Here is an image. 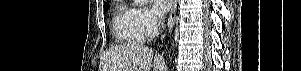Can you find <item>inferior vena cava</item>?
Instances as JSON below:
<instances>
[{
  "label": "inferior vena cava",
  "mask_w": 301,
  "mask_h": 71,
  "mask_svg": "<svg viewBox=\"0 0 301 71\" xmlns=\"http://www.w3.org/2000/svg\"><path fill=\"white\" fill-rule=\"evenodd\" d=\"M162 19V18H161ZM160 23L162 24V27H163V25H164V23L163 22H161V20H160ZM164 38V36H162V39Z\"/></svg>",
  "instance_id": "602c4592"
}]
</instances>
